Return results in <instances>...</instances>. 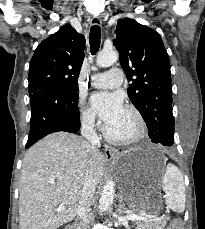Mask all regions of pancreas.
<instances>
[{
  "label": "pancreas",
  "instance_id": "1",
  "mask_svg": "<svg viewBox=\"0 0 205 229\" xmlns=\"http://www.w3.org/2000/svg\"><path fill=\"white\" fill-rule=\"evenodd\" d=\"M151 225H152L153 227L158 228V227L160 226V223L155 222V223H151Z\"/></svg>",
  "mask_w": 205,
  "mask_h": 229
}]
</instances>
